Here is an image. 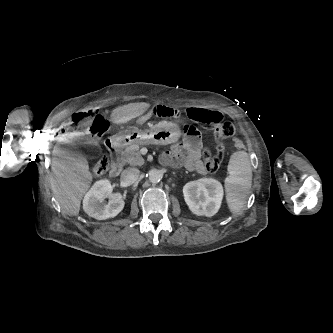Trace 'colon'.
<instances>
[{
	"label": "colon",
	"mask_w": 333,
	"mask_h": 333,
	"mask_svg": "<svg viewBox=\"0 0 333 333\" xmlns=\"http://www.w3.org/2000/svg\"><path fill=\"white\" fill-rule=\"evenodd\" d=\"M162 109L158 111L157 113L153 110L155 113V117L159 118H166V117H172L175 115V112L165 106H160ZM204 110L202 109H189L188 114L190 118L198 121H202V115L204 114ZM92 117L91 111H86L82 113H76L71 116L68 122V126L72 128H77L80 126H83L87 129L88 133L92 138H97L100 136L105 130H106V122L101 118H96L93 122H89L87 119ZM214 137L218 141V144L215 148V152L212 154L208 149H205L203 152V158L205 160L204 166L205 170L207 172H215L223 158V152H224V146L222 143V140L228 137H231L235 134L236 128L231 122H215L212 124ZM187 134L189 136H195L194 129H187ZM235 149L236 150H243L246 146V143L244 140L239 139L235 142ZM109 163V157L107 154H104L101 159L98 161V163L94 166L93 172L95 174H101L104 171H106Z\"/></svg>",
	"instance_id": "5ec220e1"
}]
</instances>
